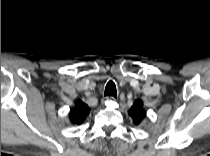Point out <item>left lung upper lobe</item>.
I'll return each instance as SVG.
<instances>
[{
	"label": "left lung upper lobe",
	"mask_w": 210,
	"mask_h": 156,
	"mask_svg": "<svg viewBox=\"0 0 210 156\" xmlns=\"http://www.w3.org/2000/svg\"><path fill=\"white\" fill-rule=\"evenodd\" d=\"M128 113L132 117L134 124H140L146 115L143 109V102L136 100Z\"/></svg>",
	"instance_id": "obj_1"
}]
</instances>
